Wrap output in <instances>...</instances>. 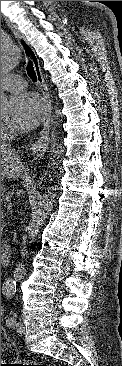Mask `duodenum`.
Segmentation results:
<instances>
[{
	"label": "duodenum",
	"mask_w": 122,
	"mask_h": 366,
	"mask_svg": "<svg viewBox=\"0 0 122 366\" xmlns=\"http://www.w3.org/2000/svg\"><path fill=\"white\" fill-rule=\"evenodd\" d=\"M8 250V245L7 244H1V252H5ZM19 277V274L15 275V278L17 279Z\"/></svg>",
	"instance_id": "duodenum-1"
}]
</instances>
